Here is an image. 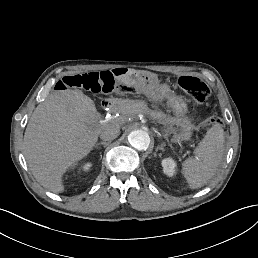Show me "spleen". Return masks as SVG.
Returning a JSON list of instances; mask_svg holds the SVG:
<instances>
[{
	"instance_id": "spleen-1",
	"label": "spleen",
	"mask_w": 258,
	"mask_h": 258,
	"mask_svg": "<svg viewBox=\"0 0 258 258\" xmlns=\"http://www.w3.org/2000/svg\"><path fill=\"white\" fill-rule=\"evenodd\" d=\"M224 153V130L220 124H213L196 149V157L184 161L185 175L192 188L202 187L219 170Z\"/></svg>"
}]
</instances>
